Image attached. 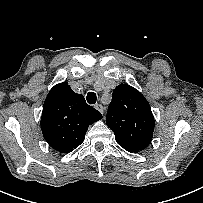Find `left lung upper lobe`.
Listing matches in <instances>:
<instances>
[{"mask_svg":"<svg viewBox=\"0 0 203 203\" xmlns=\"http://www.w3.org/2000/svg\"><path fill=\"white\" fill-rule=\"evenodd\" d=\"M106 124L120 146L136 153L151 143L155 120L146 98L132 86L120 84L113 91Z\"/></svg>","mask_w":203,"mask_h":203,"instance_id":"1","label":"left lung upper lobe"}]
</instances>
